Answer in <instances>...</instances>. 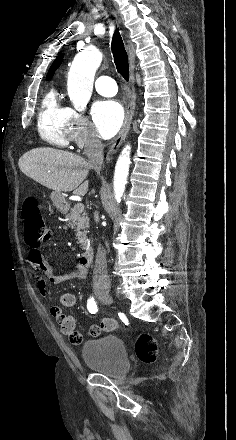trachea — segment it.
I'll return each mask as SVG.
<instances>
[{
	"label": "trachea",
	"mask_w": 236,
	"mask_h": 440,
	"mask_svg": "<svg viewBox=\"0 0 236 440\" xmlns=\"http://www.w3.org/2000/svg\"><path fill=\"white\" fill-rule=\"evenodd\" d=\"M111 49L114 57V63L118 73L126 80H129L128 55L124 47L122 37L118 30L113 34Z\"/></svg>",
	"instance_id": "trachea-1"
}]
</instances>
